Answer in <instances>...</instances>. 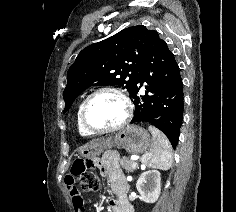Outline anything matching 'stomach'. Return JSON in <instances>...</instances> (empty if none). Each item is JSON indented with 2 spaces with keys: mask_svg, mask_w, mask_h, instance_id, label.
I'll return each instance as SVG.
<instances>
[{
  "mask_svg": "<svg viewBox=\"0 0 236 212\" xmlns=\"http://www.w3.org/2000/svg\"><path fill=\"white\" fill-rule=\"evenodd\" d=\"M150 144V135L145 129L136 125H128L114 137L97 139L82 146L79 153L83 158L94 159L105 150L117 146L129 153L139 154L146 152Z\"/></svg>",
  "mask_w": 236,
  "mask_h": 212,
  "instance_id": "1",
  "label": "stomach"
}]
</instances>
